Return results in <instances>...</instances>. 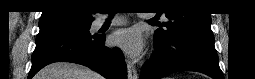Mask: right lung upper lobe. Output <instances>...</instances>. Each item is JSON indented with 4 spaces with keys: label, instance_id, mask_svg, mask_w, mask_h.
I'll return each instance as SVG.
<instances>
[{
    "label": "right lung upper lobe",
    "instance_id": "1",
    "mask_svg": "<svg viewBox=\"0 0 255 79\" xmlns=\"http://www.w3.org/2000/svg\"><path fill=\"white\" fill-rule=\"evenodd\" d=\"M88 0H48L40 19L59 15H73L84 21H93L95 11Z\"/></svg>",
    "mask_w": 255,
    "mask_h": 79
}]
</instances>
